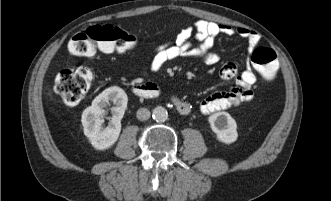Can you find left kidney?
I'll return each instance as SVG.
<instances>
[{"label": "left kidney", "mask_w": 331, "mask_h": 201, "mask_svg": "<svg viewBox=\"0 0 331 201\" xmlns=\"http://www.w3.org/2000/svg\"><path fill=\"white\" fill-rule=\"evenodd\" d=\"M208 121L217 139L225 144H231L238 138L236 121L227 112L212 114Z\"/></svg>", "instance_id": "5707ae66"}]
</instances>
